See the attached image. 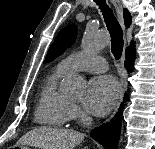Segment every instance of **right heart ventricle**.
I'll use <instances>...</instances> for the list:
<instances>
[{
    "mask_svg": "<svg viewBox=\"0 0 155 149\" xmlns=\"http://www.w3.org/2000/svg\"><path fill=\"white\" fill-rule=\"evenodd\" d=\"M65 74L57 66L45 79L35 109L37 123L50 127H62L71 119V103L57 89L59 80Z\"/></svg>",
    "mask_w": 155,
    "mask_h": 149,
    "instance_id": "obj_1",
    "label": "right heart ventricle"
}]
</instances>
